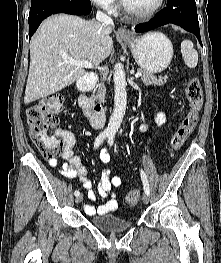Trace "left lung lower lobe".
I'll return each instance as SVG.
<instances>
[{
    "label": "left lung lower lobe",
    "mask_w": 221,
    "mask_h": 263,
    "mask_svg": "<svg viewBox=\"0 0 221 263\" xmlns=\"http://www.w3.org/2000/svg\"><path fill=\"white\" fill-rule=\"evenodd\" d=\"M173 23L192 32L202 45L195 0H168L167 6L146 23L136 25V32H146Z\"/></svg>",
    "instance_id": "obj_1"
}]
</instances>
